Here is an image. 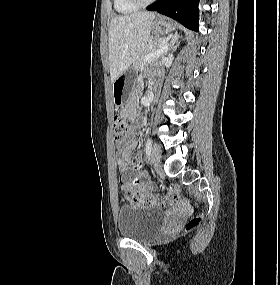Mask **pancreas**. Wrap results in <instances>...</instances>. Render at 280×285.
Listing matches in <instances>:
<instances>
[{
	"label": "pancreas",
	"instance_id": "pancreas-1",
	"mask_svg": "<svg viewBox=\"0 0 280 285\" xmlns=\"http://www.w3.org/2000/svg\"><path fill=\"white\" fill-rule=\"evenodd\" d=\"M163 46H167V42L163 38H156L152 40L150 43H148L142 51L138 54L136 59L134 60L133 66L135 69L139 70L143 67L145 64L144 57L158 49H160ZM165 53L161 54L159 57H163Z\"/></svg>",
	"mask_w": 280,
	"mask_h": 285
}]
</instances>
